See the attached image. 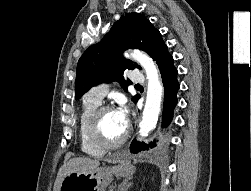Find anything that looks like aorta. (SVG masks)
Instances as JSON below:
<instances>
[{"label":"aorta","instance_id":"1","mask_svg":"<svg viewBox=\"0 0 251 191\" xmlns=\"http://www.w3.org/2000/svg\"><path fill=\"white\" fill-rule=\"evenodd\" d=\"M126 56L139 62L146 72L148 88L142 119L139 123V133L140 135H148L149 131L156 127L158 121L163 96V86L160 84L158 70L147 54L135 50V52L126 54Z\"/></svg>","mask_w":251,"mask_h":191}]
</instances>
